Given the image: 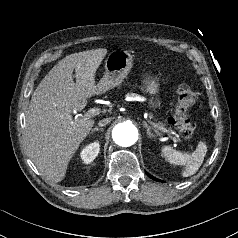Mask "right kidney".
I'll list each match as a JSON object with an SVG mask.
<instances>
[{
    "instance_id": "1",
    "label": "right kidney",
    "mask_w": 238,
    "mask_h": 238,
    "mask_svg": "<svg viewBox=\"0 0 238 238\" xmlns=\"http://www.w3.org/2000/svg\"><path fill=\"white\" fill-rule=\"evenodd\" d=\"M100 145L98 142H93L87 145L80 153V157L85 164L91 163L98 155Z\"/></svg>"
}]
</instances>
